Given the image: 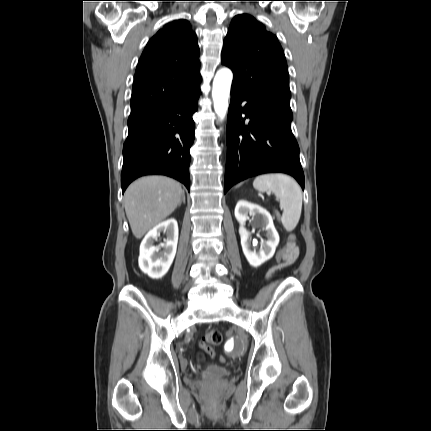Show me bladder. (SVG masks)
Returning a JSON list of instances; mask_svg holds the SVG:
<instances>
[{"instance_id": "31cf9c89", "label": "bladder", "mask_w": 431, "mask_h": 431, "mask_svg": "<svg viewBox=\"0 0 431 431\" xmlns=\"http://www.w3.org/2000/svg\"><path fill=\"white\" fill-rule=\"evenodd\" d=\"M228 367L220 365H208L203 371V377L208 379H218L230 375Z\"/></svg>"}]
</instances>
